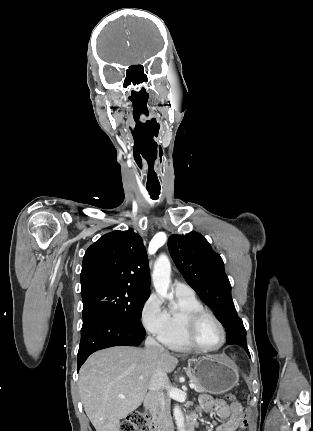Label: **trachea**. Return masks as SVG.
I'll return each instance as SVG.
<instances>
[{"mask_svg":"<svg viewBox=\"0 0 313 431\" xmlns=\"http://www.w3.org/2000/svg\"><path fill=\"white\" fill-rule=\"evenodd\" d=\"M146 189L153 200L158 199L161 189L160 186L146 187Z\"/></svg>","mask_w":313,"mask_h":431,"instance_id":"obj_1","label":"trachea"}]
</instances>
